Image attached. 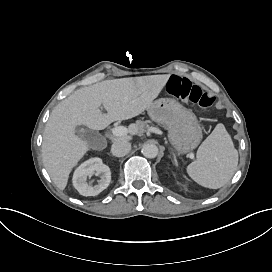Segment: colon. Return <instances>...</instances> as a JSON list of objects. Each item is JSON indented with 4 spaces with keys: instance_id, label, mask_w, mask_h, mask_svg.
Here are the masks:
<instances>
[{
    "instance_id": "colon-1",
    "label": "colon",
    "mask_w": 272,
    "mask_h": 272,
    "mask_svg": "<svg viewBox=\"0 0 272 272\" xmlns=\"http://www.w3.org/2000/svg\"><path fill=\"white\" fill-rule=\"evenodd\" d=\"M170 94L188 104H194L209 110L215 104V97L197 84L185 77L173 75L168 82Z\"/></svg>"
}]
</instances>
